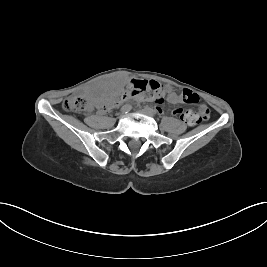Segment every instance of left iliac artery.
Instances as JSON below:
<instances>
[{"label": "left iliac artery", "instance_id": "left-iliac-artery-1", "mask_svg": "<svg viewBox=\"0 0 267 267\" xmlns=\"http://www.w3.org/2000/svg\"><path fill=\"white\" fill-rule=\"evenodd\" d=\"M145 109L150 112L152 115H155L156 114V111L154 109H152L151 107H145Z\"/></svg>", "mask_w": 267, "mask_h": 267}]
</instances>
